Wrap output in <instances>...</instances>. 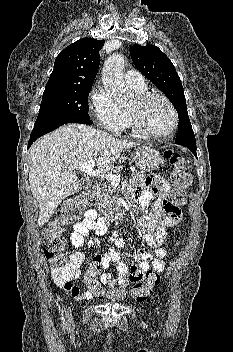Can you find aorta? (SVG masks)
<instances>
[{"instance_id":"obj_1","label":"aorta","mask_w":233,"mask_h":352,"mask_svg":"<svg viewBox=\"0 0 233 352\" xmlns=\"http://www.w3.org/2000/svg\"><path fill=\"white\" fill-rule=\"evenodd\" d=\"M124 65V56L115 53L105 61L102 70L104 88L121 105L129 103L133 98L132 92L126 87L124 82Z\"/></svg>"}]
</instances>
